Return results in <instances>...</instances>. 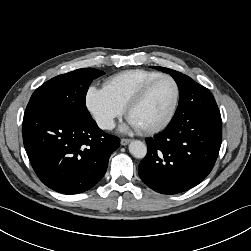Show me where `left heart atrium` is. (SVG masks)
<instances>
[{
    "label": "left heart atrium",
    "mask_w": 251,
    "mask_h": 251,
    "mask_svg": "<svg viewBox=\"0 0 251 251\" xmlns=\"http://www.w3.org/2000/svg\"><path fill=\"white\" fill-rule=\"evenodd\" d=\"M129 129H139V127L130 119H128V124L123 127V130H129Z\"/></svg>",
    "instance_id": "obj_1"
}]
</instances>
